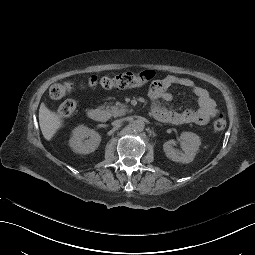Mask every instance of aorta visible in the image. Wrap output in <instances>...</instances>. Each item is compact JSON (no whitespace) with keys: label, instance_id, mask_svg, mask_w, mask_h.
<instances>
[{"label":"aorta","instance_id":"aorta-1","mask_svg":"<svg viewBox=\"0 0 255 255\" xmlns=\"http://www.w3.org/2000/svg\"><path fill=\"white\" fill-rule=\"evenodd\" d=\"M145 128V123L141 119H136L132 122V129L136 132H142Z\"/></svg>","mask_w":255,"mask_h":255}]
</instances>
